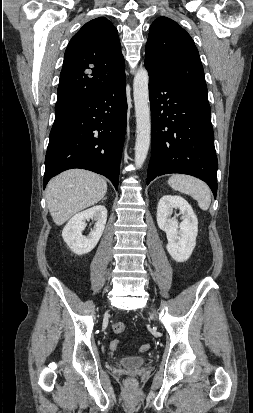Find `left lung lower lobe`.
<instances>
[{
    "label": "left lung lower lobe",
    "instance_id": "left-lung-lower-lobe-1",
    "mask_svg": "<svg viewBox=\"0 0 253 413\" xmlns=\"http://www.w3.org/2000/svg\"><path fill=\"white\" fill-rule=\"evenodd\" d=\"M152 121L147 184L182 173L205 181L217 194V156L209 102L175 86L146 65Z\"/></svg>",
    "mask_w": 253,
    "mask_h": 413
}]
</instances>
